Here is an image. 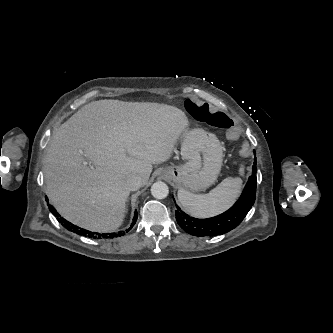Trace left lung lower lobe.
<instances>
[{"mask_svg": "<svg viewBox=\"0 0 333 333\" xmlns=\"http://www.w3.org/2000/svg\"><path fill=\"white\" fill-rule=\"evenodd\" d=\"M255 154V152H254ZM256 158L252 167L253 174L238 201L226 212L208 219H197L188 216L176 205V220L180 227L195 236H217L237 227L252 208L256 197Z\"/></svg>", "mask_w": 333, "mask_h": 333, "instance_id": "1", "label": "left lung lower lobe"}]
</instances>
